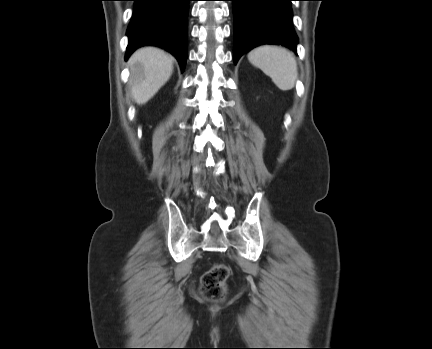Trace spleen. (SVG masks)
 I'll use <instances>...</instances> for the list:
<instances>
[{"instance_id":"spleen-1","label":"spleen","mask_w":432,"mask_h":349,"mask_svg":"<svg viewBox=\"0 0 432 349\" xmlns=\"http://www.w3.org/2000/svg\"><path fill=\"white\" fill-rule=\"evenodd\" d=\"M249 62L260 68L282 91L291 90L298 78L294 55L283 47L264 45L248 53Z\"/></svg>"}]
</instances>
